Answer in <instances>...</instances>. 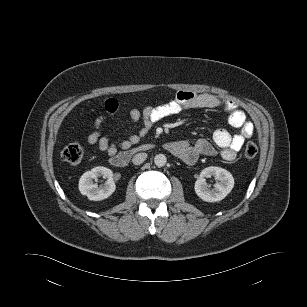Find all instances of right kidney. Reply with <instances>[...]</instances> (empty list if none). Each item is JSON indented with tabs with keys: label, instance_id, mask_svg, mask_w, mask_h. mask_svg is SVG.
I'll list each match as a JSON object with an SVG mask.
<instances>
[{
	"label": "right kidney",
	"instance_id": "ca27d5eb",
	"mask_svg": "<svg viewBox=\"0 0 307 307\" xmlns=\"http://www.w3.org/2000/svg\"><path fill=\"white\" fill-rule=\"evenodd\" d=\"M98 177L107 178L103 186L98 187L93 180ZM116 186L113 180V173L106 167H95L85 172L79 180V190L82 195L88 197L89 200L100 201L108 198L115 191Z\"/></svg>",
	"mask_w": 307,
	"mask_h": 307
}]
</instances>
